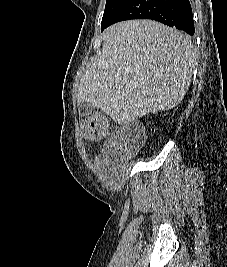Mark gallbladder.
I'll return each mask as SVG.
<instances>
[{
    "mask_svg": "<svg viewBox=\"0 0 227 267\" xmlns=\"http://www.w3.org/2000/svg\"><path fill=\"white\" fill-rule=\"evenodd\" d=\"M79 112L83 116L90 115L94 112V107L89 102L84 101L79 104Z\"/></svg>",
    "mask_w": 227,
    "mask_h": 267,
    "instance_id": "gallbladder-1",
    "label": "gallbladder"
}]
</instances>
